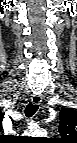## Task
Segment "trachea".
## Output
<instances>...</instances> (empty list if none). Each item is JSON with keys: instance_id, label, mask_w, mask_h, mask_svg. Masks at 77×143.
I'll list each match as a JSON object with an SVG mask.
<instances>
[{"instance_id": "obj_1", "label": "trachea", "mask_w": 77, "mask_h": 143, "mask_svg": "<svg viewBox=\"0 0 77 143\" xmlns=\"http://www.w3.org/2000/svg\"><path fill=\"white\" fill-rule=\"evenodd\" d=\"M38 110V105L33 104L32 102H30L26 108H25V115L26 117L30 118L32 117L36 111Z\"/></svg>"}]
</instances>
